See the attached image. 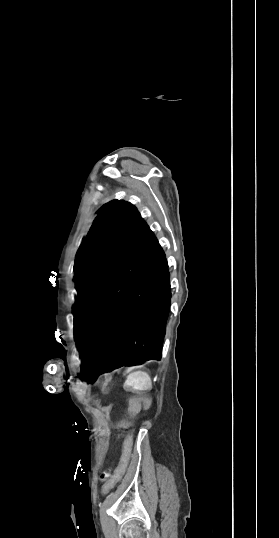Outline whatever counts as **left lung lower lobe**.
<instances>
[{
  "label": "left lung lower lobe",
  "instance_id": "obj_1",
  "mask_svg": "<svg viewBox=\"0 0 279 538\" xmlns=\"http://www.w3.org/2000/svg\"><path fill=\"white\" fill-rule=\"evenodd\" d=\"M170 303L166 257L150 232L75 325L83 378L160 360Z\"/></svg>",
  "mask_w": 279,
  "mask_h": 538
}]
</instances>
